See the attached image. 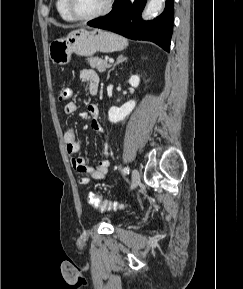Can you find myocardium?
<instances>
[{
  "label": "myocardium",
  "mask_w": 243,
  "mask_h": 289,
  "mask_svg": "<svg viewBox=\"0 0 243 289\" xmlns=\"http://www.w3.org/2000/svg\"><path fill=\"white\" fill-rule=\"evenodd\" d=\"M114 0H107L105 7L96 14L90 16H80L78 15L73 8V0H66L67 10L70 16L77 21H92L106 16L110 13L113 8Z\"/></svg>",
  "instance_id": "myocardium-1"
}]
</instances>
